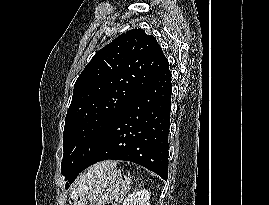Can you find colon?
I'll list each match as a JSON object with an SVG mask.
<instances>
[{
	"label": "colon",
	"mask_w": 269,
	"mask_h": 205,
	"mask_svg": "<svg viewBox=\"0 0 269 205\" xmlns=\"http://www.w3.org/2000/svg\"><path fill=\"white\" fill-rule=\"evenodd\" d=\"M107 205H115V204H107Z\"/></svg>",
	"instance_id": "5ec220e1"
}]
</instances>
